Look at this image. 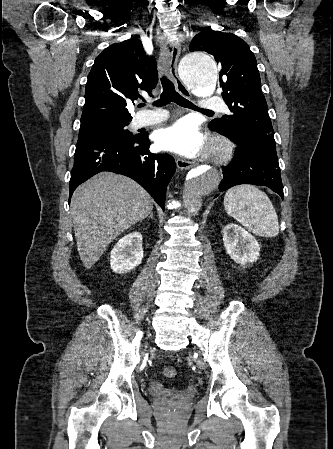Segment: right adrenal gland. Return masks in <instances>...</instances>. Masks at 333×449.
Instances as JSON below:
<instances>
[{
	"label": "right adrenal gland",
	"mask_w": 333,
	"mask_h": 449,
	"mask_svg": "<svg viewBox=\"0 0 333 449\" xmlns=\"http://www.w3.org/2000/svg\"><path fill=\"white\" fill-rule=\"evenodd\" d=\"M149 217L152 219L153 218V213H151Z\"/></svg>",
	"instance_id": "1"
}]
</instances>
